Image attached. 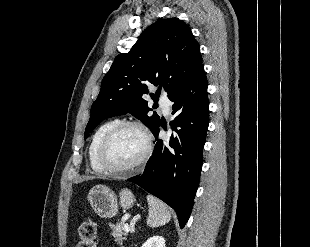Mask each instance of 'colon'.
<instances>
[{
  "instance_id": "1",
  "label": "colon",
  "mask_w": 310,
  "mask_h": 247,
  "mask_svg": "<svg viewBox=\"0 0 310 247\" xmlns=\"http://www.w3.org/2000/svg\"><path fill=\"white\" fill-rule=\"evenodd\" d=\"M78 247H96L97 225L92 220L83 221L78 229Z\"/></svg>"
}]
</instances>
